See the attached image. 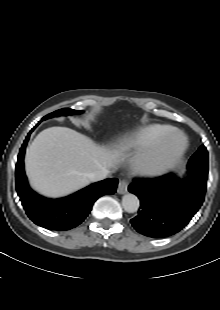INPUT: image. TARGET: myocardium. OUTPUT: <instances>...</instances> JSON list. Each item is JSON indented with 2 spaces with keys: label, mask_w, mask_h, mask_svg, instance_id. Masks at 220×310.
<instances>
[{
  "label": "myocardium",
  "mask_w": 220,
  "mask_h": 310,
  "mask_svg": "<svg viewBox=\"0 0 220 310\" xmlns=\"http://www.w3.org/2000/svg\"><path fill=\"white\" fill-rule=\"evenodd\" d=\"M173 147L171 155L166 153ZM188 147L183 132L172 129L153 147L138 154L135 158L136 171L145 177L156 178L173 169L183 158Z\"/></svg>",
  "instance_id": "myocardium-1"
}]
</instances>
